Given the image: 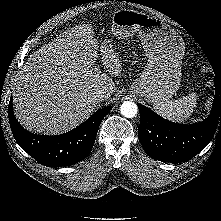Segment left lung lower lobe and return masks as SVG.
Listing matches in <instances>:
<instances>
[{
    "instance_id": "1",
    "label": "left lung lower lobe",
    "mask_w": 221,
    "mask_h": 221,
    "mask_svg": "<svg viewBox=\"0 0 221 221\" xmlns=\"http://www.w3.org/2000/svg\"><path fill=\"white\" fill-rule=\"evenodd\" d=\"M215 87L210 115L190 125L170 122L137 104L141 120L138 137L146 154L161 162H186L205 148L221 127V83L215 81Z\"/></svg>"
}]
</instances>
